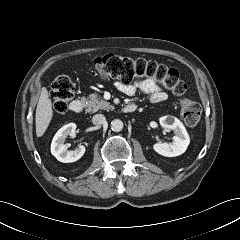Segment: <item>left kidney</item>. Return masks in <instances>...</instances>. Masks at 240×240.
<instances>
[{"mask_svg": "<svg viewBox=\"0 0 240 240\" xmlns=\"http://www.w3.org/2000/svg\"><path fill=\"white\" fill-rule=\"evenodd\" d=\"M160 125L175 133L173 143L158 142L153 145V149L165 157H175L183 154L189 143L190 138L184 125L175 117L163 116L159 119Z\"/></svg>", "mask_w": 240, "mask_h": 240, "instance_id": "5707ae66", "label": "left kidney"}]
</instances>
